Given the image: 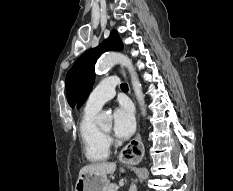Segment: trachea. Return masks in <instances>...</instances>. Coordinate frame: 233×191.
<instances>
[{
  "mask_svg": "<svg viewBox=\"0 0 233 191\" xmlns=\"http://www.w3.org/2000/svg\"><path fill=\"white\" fill-rule=\"evenodd\" d=\"M120 87L122 91H128V86L126 83H122Z\"/></svg>",
  "mask_w": 233,
  "mask_h": 191,
  "instance_id": "3493384b",
  "label": "trachea"
}]
</instances>
